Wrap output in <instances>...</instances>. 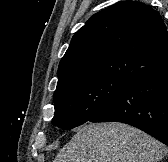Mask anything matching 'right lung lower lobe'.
Here are the masks:
<instances>
[{
  "mask_svg": "<svg viewBox=\"0 0 168 162\" xmlns=\"http://www.w3.org/2000/svg\"><path fill=\"white\" fill-rule=\"evenodd\" d=\"M91 122H122L168 145V65L133 79Z\"/></svg>",
  "mask_w": 168,
  "mask_h": 162,
  "instance_id": "98d812e1",
  "label": "right lung lower lobe"
}]
</instances>
